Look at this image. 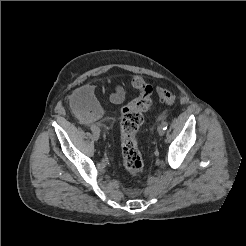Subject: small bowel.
Segmentation results:
<instances>
[{
	"mask_svg": "<svg viewBox=\"0 0 246 246\" xmlns=\"http://www.w3.org/2000/svg\"><path fill=\"white\" fill-rule=\"evenodd\" d=\"M110 102L121 104L125 99V92L121 86H117L111 93ZM71 108L83 125L96 122L102 115V107L95 95V88L91 84H85L77 88L70 100Z\"/></svg>",
	"mask_w": 246,
	"mask_h": 246,
	"instance_id": "1",
	"label": "small bowel"
}]
</instances>
